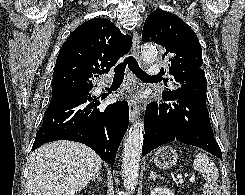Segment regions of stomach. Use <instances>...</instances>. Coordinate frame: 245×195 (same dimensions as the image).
Wrapping results in <instances>:
<instances>
[{"label":"stomach","instance_id":"stomach-1","mask_svg":"<svg viewBox=\"0 0 245 195\" xmlns=\"http://www.w3.org/2000/svg\"><path fill=\"white\" fill-rule=\"evenodd\" d=\"M178 155L176 150L170 146L159 148L154 156L153 161L158 168H171L177 162Z\"/></svg>","mask_w":245,"mask_h":195}]
</instances>
